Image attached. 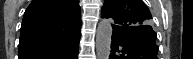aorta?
<instances>
[{
	"mask_svg": "<svg viewBox=\"0 0 193 59\" xmlns=\"http://www.w3.org/2000/svg\"><path fill=\"white\" fill-rule=\"evenodd\" d=\"M112 25L110 19H102L96 32V54L98 59H108L111 53Z\"/></svg>",
	"mask_w": 193,
	"mask_h": 59,
	"instance_id": "obj_1",
	"label": "aorta"
}]
</instances>
